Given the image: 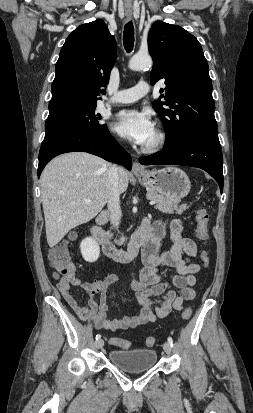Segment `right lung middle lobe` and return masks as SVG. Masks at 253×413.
<instances>
[{
	"label": "right lung middle lobe",
	"instance_id": "obj_1",
	"mask_svg": "<svg viewBox=\"0 0 253 413\" xmlns=\"http://www.w3.org/2000/svg\"><path fill=\"white\" fill-rule=\"evenodd\" d=\"M95 109H74L48 116L44 139L69 134H95L107 129L99 121L101 116L95 114Z\"/></svg>",
	"mask_w": 253,
	"mask_h": 413
}]
</instances>
